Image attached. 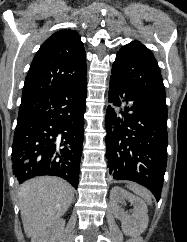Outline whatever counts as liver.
I'll return each mask as SVG.
<instances>
[{"instance_id": "6515ba94", "label": "liver", "mask_w": 187, "mask_h": 242, "mask_svg": "<svg viewBox=\"0 0 187 242\" xmlns=\"http://www.w3.org/2000/svg\"><path fill=\"white\" fill-rule=\"evenodd\" d=\"M23 228L27 237L35 236L58 220L70 207L73 188L57 177H36L23 183L18 190Z\"/></svg>"}]
</instances>
